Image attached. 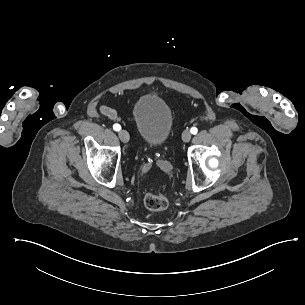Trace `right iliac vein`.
Returning a JSON list of instances; mask_svg holds the SVG:
<instances>
[{
    "label": "right iliac vein",
    "instance_id": "right-iliac-vein-1",
    "mask_svg": "<svg viewBox=\"0 0 305 305\" xmlns=\"http://www.w3.org/2000/svg\"><path fill=\"white\" fill-rule=\"evenodd\" d=\"M120 139L123 141V142H128L129 141V134L127 131L125 130H120L119 133H118Z\"/></svg>",
    "mask_w": 305,
    "mask_h": 305
}]
</instances>
